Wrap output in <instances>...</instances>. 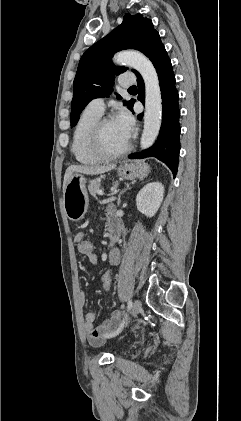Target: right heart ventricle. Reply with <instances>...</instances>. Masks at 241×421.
I'll return each mask as SVG.
<instances>
[{
  "mask_svg": "<svg viewBox=\"0 0 241 421\" xmlns=\"http://www.w3.org/2000/svg\"><path fill=\"white\" fill-rule=\"evenodd\" d=\"M101 114L86 107L81 113L73 131L71 151L77 162L84 165H94L101 161L90 149L89 138L95 123Z\"/></svg>",
  "mask_w": 241,
  "mask_h": 421,
  "instance_id": "obj_1",
  "label": "right heart ventricle"
}]
</instances>
